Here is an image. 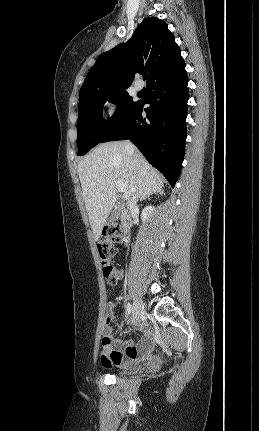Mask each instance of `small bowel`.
Returning <instances> with one entry per match:
<instances>
[{
	"label": "small bowel",
	"mask_w": 259,
	"mask_h": 431,
	"mask_svg": "<svg viewBox=\"0 0 259 431\" xmlns=\"http://www.w3.org/2000/svg\"><path fill=\"white\" fill-rule=\"evenodd\" d=\"M115 303L108 304L105 337L109 339L108 344H103V352L101 362L105 367L111 366H128L133 362L143 358L149 352L152 333L147 325L140 324L139 327L143 331V337L139 344L125 343L121 340L113 339V324Z\"/></svg>",
	"instance_id": "obj_1"
}]
</instances>
